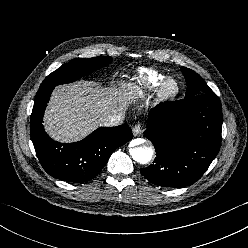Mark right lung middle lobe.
Segmentation results:
<instances>
[{
    "instance_id": "dd1d6c3e",
    "label": "right lung middle lobe",
    "mask_w": 248,
    "mask_h": 248,
    "mask_svg": "<svg viewBox=\"0 0 248 248\" xmlns=\"http://www.w3.org/2000/svg\"><path fill=\"white\" fill-rule=\"evenodd\" d=\"M111 62L112 58L108 56H98L89 59H73L48 75L39 89L76 81L79 78L92 73L94 70L105 67Z\"/></svg>"
}]
</instances>
